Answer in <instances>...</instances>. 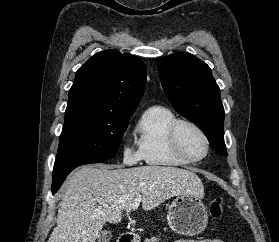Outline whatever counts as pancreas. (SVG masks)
Instances as JSON below:
<instances>
[{"label": "pancreas", "instance_id": "cf45deb5", "mask_svg": "<svg viewBox=\"0 0 279 242\" xmlns=\"http://www.w3.org/2000/svg\"><path fill=\"white\" fill-rule=\"evenodd\" d=\"M144 242H159V237L146 238Z\"/></svg>", "mask_w": 279, "mask_h": 242}]
</instances>
